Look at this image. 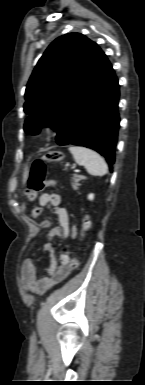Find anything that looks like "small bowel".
I'll return each instance as SVG.
<instances>
[{
	"mask_svg": "<svg viewBox=\"0 0 145 385\" xmlns=\"http://www.w3.org/2000/svg\"><path fill=\"white\" fill-rule=\"evenodd\" d=\"M49 185L54 186L56 182L50 180ZM51 205L58 221V226L49 230L47 241L43 245V250L48 256V268L46 274L39 276V269L32 259H26L21 266V285L25 292L43 295L53 286L63 281L73 270V265L68 256L62 254L59 264L56 258V248L52 241L54 239H67L74 236L71 230L70 219L67 209L62 205L61 197L54 191L43 193L38 198V206L33 208L32 216L39 217L44 207ZM39 211L36 213V211ZM41 228H48L50 222L43 220L39 223Z\"/></svg>",
	"mask_w": 145,
	"mask_h": 385,
	"instance_id": "small-bowel-1",
	"label": "small bowel"
}]
</instances>
